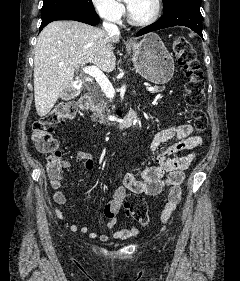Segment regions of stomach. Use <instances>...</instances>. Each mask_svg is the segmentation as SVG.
I'll list each match as a JSON object with an SVG mask.
<instances>
[{"instance_id": "0dacf381", "label": "stomach", "mask_w": 240, "mask_h": 281, "mask_svg": "<svg viewBox=\"0 0 240 281\" xmlns=\"http://www.w3.org/2000/svg\"><path fill=\"white\" fill-rule=\"evenodd\" d=\"M136 71L155 84H165L173 76L174 60L160 37L146 35L139 43L128 46Z\"/></svg>"}]
</instances>
